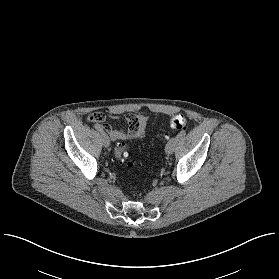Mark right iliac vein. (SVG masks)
I'll use <instances>...</instances> for the list:
<instances>
[{
  "label": "right iliac vein",
  "mask_w": 279,
  "mask_h": 279,
  "mask_svg": "<svg viewBox=\"0 0 279 279\" xmlns=\"http://www.w3.org/2000/svg\"><path fill=\"white\" fill-rule=\"evenodd\" d=\"M102 142H103V145H104L105 147H109V145H110V140H109L108 135H106L105 133L102 134Z\"/></svg>",
  "instance_id": "obj_1"
}]
</instances>
